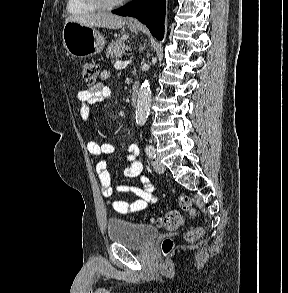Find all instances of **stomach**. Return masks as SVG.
Here are the masks:
<instances>
[{
    "instance_id": "stomach-1",
    "label": "stomach",
    "mask_w": 288,
    "mask_h": 293,
    "mask_svg": "<svg viewBox=\"0 0 288 293\" xmlns=\"http://www.w3.org/2000/svg\"><path fill=\"white\" fill-rule=\"evenodd\" d=\"M132 32L139 31V26L128 24ZM63 45L68 54L83 58L100 53L105 46L104 37L93 27L79 22H67L62 32Z\"/></svg>"
}]
</instances>
